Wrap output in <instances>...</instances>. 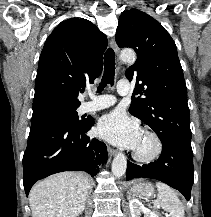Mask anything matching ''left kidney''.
Listing matches in <instances>:
<instances>
[{"mask_svg":"<svg viewBox=\"0 0 211 217\" xmlns=\"http://www.w3.org/2000/svg\"><path fill=\"white\" fill-rule=\"evenodd\" d=\"M129 208L132 217H140L141 212L144 213V217H158V215L146 208L138 199L135 198L129 201Z\"/></svg>","mask_w":211,"mask_h":217,"instance_id":"5707ae66","label":"left kidney"}]
</instances>
